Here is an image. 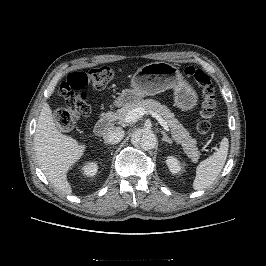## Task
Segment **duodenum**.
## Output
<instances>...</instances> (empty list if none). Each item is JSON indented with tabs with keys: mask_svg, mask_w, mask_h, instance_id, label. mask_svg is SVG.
I'll return each instance as SVG.
<instances>
[{
	"mask_svg": "<svg viewBox=\"0 0 266 266\" xmlns=\"http://www.w3.org/2000/svg\"><path fill=\"white\" fill-rule=\"evenodd\" d=\"M112 118H113L112 114H106L103 117H101L94 126V133L97 136L105 135L108 129L110 128V125L112 123Z\"/></svg>",
	"mask_w": 266,
	"mask_h": 266,
	"instance_id": "obj_1",
	"label": "duodenum"
}]
</instances>
